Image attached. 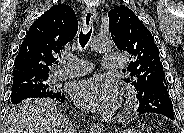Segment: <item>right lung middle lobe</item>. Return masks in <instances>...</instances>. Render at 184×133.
Here are the masks:
<instances>
[{"label": "right lung middle lobe", "instance_id": "dd1d6c3e", "mask_svg": "<svg viewBox=\"0 0 184 133\" xmlns=\"http://www.w3.org/2000/svg\"><path fill=\"white\" fill-rule=\"evenodd\" d=\"M48 81L49 75H15L13 77L11 102L22 97H48L59 92L56 88H52Z\"/></svg>", "mask_w": 184, "mask_h": 133}]
</instances>
